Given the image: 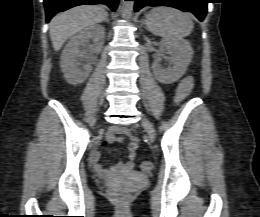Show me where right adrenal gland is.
Here are the masks:
<instances>
[{"label":"right adrenal gland","instance_id":"2a0ac1e0","mask_svg":"<svg viewBox=\"0 0 260 217\" xmlns=\"http://www.w3.org/2000/svg\"><path fill=\"white\" fill-rule=\"evenodd\" d=\"M107 23H109V19H108V16H107V18H106V20H105Z\"/></svg>","mask_w":260,"mask_h":217}]
</instances>
